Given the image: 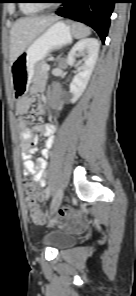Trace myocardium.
<instances>
[{"mask_svg": "<svg viewBox=\"0 0 136 296\" xmlns=\"http://www.w3.org/2000/svg\"><path fill=\"white\" fill-rule=\"evenodd\" d=\"M35 1H36V5L40 8L49 6V3L45 2L46 0H35Z\"/></svg>", "mask_w": 136, "mask_h": 296, "instance_id": "obj_1", "label": "myocardium"}]
</instances>
